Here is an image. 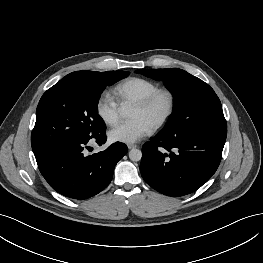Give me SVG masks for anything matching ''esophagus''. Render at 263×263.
Wrapping results in <instances>:
<instances>
[{"label": "esophagus", "instance_id": "esophagus-1", "mask_svg": "<svg viewBox=\"0 0 263 263\" xmlns=\"http://www.w3.org/2000/svg\"><path fill=\"white\" fill-rule=\"evenodd\" d=\"M127 147H128V149H133V148H136L137 145L136 144H128Z\"/></svg>", "mask_w": 263, "mask_h": 263}]
</instances>
